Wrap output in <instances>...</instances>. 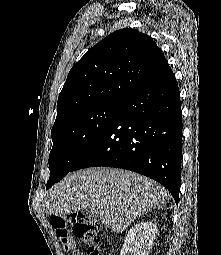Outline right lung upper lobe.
<instances>
[{
	"instance_id": "1",
	"label": "right lung upper lobe",
	"mask_w": 221,
	"mask_h": 255,
	"mask_svg": "<svg viewBox=\"0 0 221 255\" xmlns=\"http://www.w3.org/2000/svg\"><path fill=\"white\" fill-rule=\"evenodd\" d=\"M168 66L146 34L125 28L92 47L70 70L57 102L55 124L103 103H121Z\"/></svg>"
}]
</instances>
